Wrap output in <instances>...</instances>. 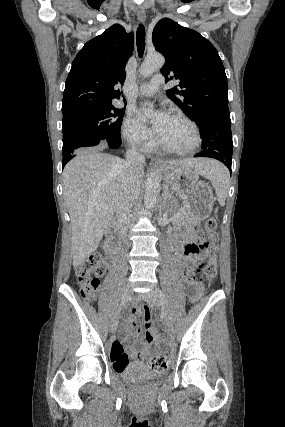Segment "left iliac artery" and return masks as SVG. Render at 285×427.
<instances>
[{
	"label": "left iliac artery",
	"instance_id": "obj_1",
	"mask_svg": "<svg viewBox=\"0 0 285 427\" xmlns=\"http://www.w3.org/2000/svg\"><path fill=\"white\" fill-rule=\"evenodd\" d=\"M156 292H157V294H158V296H159V298L161 300V304L165 307V305H166V299H165V296H164L163 292L160 289H156Z\"/></svg>",
	"mask_w": 285,
	"mask_h": 427
}]
</instances>
